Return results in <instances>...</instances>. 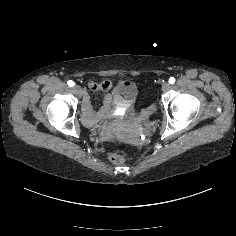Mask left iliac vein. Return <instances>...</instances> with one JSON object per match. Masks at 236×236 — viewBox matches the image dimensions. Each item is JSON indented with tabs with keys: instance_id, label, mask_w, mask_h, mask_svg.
Segmentation results:
<instances>
[{
	"instance_id": "left-iliac-vein-1",
	"label": "left iliac vein",
	"mask_w": 236,
	"mask_h": 236,
	"mask_svg": "<svg viewBox=\"0 0 236 236\" xmlns=\"http://www.w3.org/2000/svg\"><path fill=\"white\" fill-rule=\"evenodd\" d=\"M171 88L170 84L168 82L163 83L162 90L168 91Z\"/></svg>"
}]
</instances>
